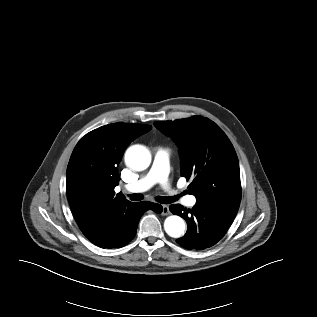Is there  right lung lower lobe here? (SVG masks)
I'll list each match as a JSON object with an SVG mask.
<instances>
[{"instance_id":"98d812e1","label":"right lung lower lobe","mask_w":317,"mask_h":317,"mask_svg":"<svg viewBox=\"0 0 317 317\" xmlns=\"http://www.w3.org/2000/svg\"><path fill=\"white\" fill-rule=\"evenodd\" d=\"M161 213V205L151 202L127 203L114 210H103L92 203L74 213L82 233L101 248H121L136 235L139 219L147 210Z\"/></svg>"}]
</instances>
